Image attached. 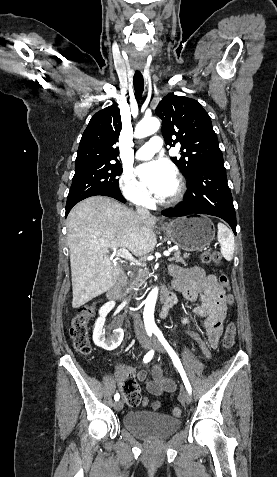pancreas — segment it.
Returning <instances> with one entry per match:
<instances>
[{
    "label": "pancreas",
    "mask_w": 277,
    "mask_h": 477,
    "mask_svg": "<svg viewBox=\"0 0 277 477\" xmlns=\"http://www.w3.org/2000/svg\"><path fill=\"white\" fill-rule=\"evenodd\" d=\"M189 257L188 254L181 255L179 250L174 251L173 257L170 258V261L180 262L186 264V259ZM148 274L142 270H139L135 277L131 279L128 291H134L135 294L139 290V287L143 285L147 279Z\"/></svg>",
    "instance_id": "1"
}]
</instances>
